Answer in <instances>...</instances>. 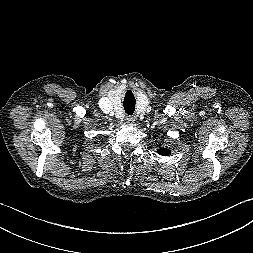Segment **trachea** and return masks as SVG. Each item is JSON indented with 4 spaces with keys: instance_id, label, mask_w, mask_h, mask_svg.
<instances>
[{
    "instance_id": "trachea-1",
    "label": "trachea",
    "mask_w": 253,
    "mask_h": 253,
    "mask_svg": "<svg viewBox=\"0 0 253 253\" xmlns=\"http://www.w3.org/2000/svg\"><path fill=\"white\" fill-rule=\"evenodd\" d=\"M135 98L134 96L128 92L124 98V102H123V105H124V109H125V112L128 114V115H132L135 111Z\"/></svg>"
}]
</instances>
